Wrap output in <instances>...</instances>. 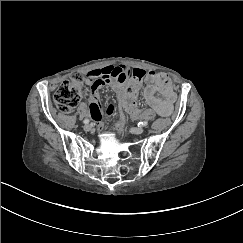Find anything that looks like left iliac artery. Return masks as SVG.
<instances>
[{
    "mask_svg": "<svg viewBox=\"0 0 243 243\" xmlns=\"http://www.w3.org/2000/svg\"><path fill=\"white\" fill-rule=\"evenodd\" d=\"M138 125H140V126H147L148 122L147 121H142V122L138 123Z\"/></svg>",
    "mask_w": 243,
    "mask_h": 243,
    "instance_id": "44dca946",
    "label": "left iliac artery"
}]
</instances>
